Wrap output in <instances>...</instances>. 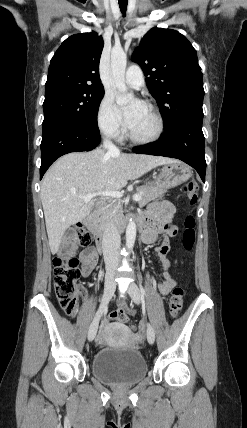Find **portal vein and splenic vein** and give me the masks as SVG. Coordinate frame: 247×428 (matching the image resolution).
Instances as JSON below:
<instances>
[{"mask_svg":"<svg viewBox=\"0 0 247 428\" xmlns=\"http://www.w3.org/2000/svg\"><path fill=\"white\" fill-rule=\"evenodd\" d=\"M97 195H101V196H107V197H113V198H121L122 197V193L120 191H104L101 193H91V194H87L84 196H79V198L83 199L85 203H88L89 201H91V199ZM133 200L134 201H140L141 200V195L136 194L133 196Z\"/></svg>","mask_w":247,"mask_h":428,"instance_id":"1","label":"portal vein and splenic vein"}]
</instances>
